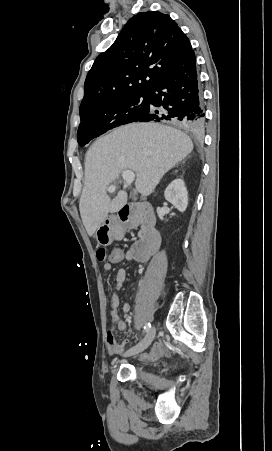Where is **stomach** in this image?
I'll use <instances>...</instances> for the list:
<instances>
[{
  "instance_id": "1",
  "label": "stomach",
  "mask_w": 272,
  "mask_h": 451,
  "mask_svg": "<svg viewBox=\"0 0 272 451\" xmlns=\"http://www.w3.org/2000/svg\"><path fill=\"white\" fill-rule=\"evenodd\" d=\"M95 237L100 245H110L113 241L109 227L104 226V224L96 229Z\"/></svg>"
}]
</instances>
